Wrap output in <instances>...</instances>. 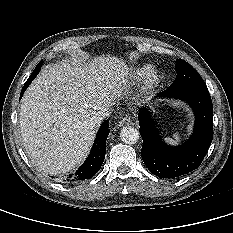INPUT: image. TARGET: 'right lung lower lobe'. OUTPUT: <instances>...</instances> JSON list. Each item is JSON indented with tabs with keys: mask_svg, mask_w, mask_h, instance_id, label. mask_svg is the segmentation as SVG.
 Here are the masks:
<instances>
[{
	"mask_svg": "<svg viewBox=\"0 0 233 233\" xmlns=\"http://www.w3.org/2000/svg\"><path fill=\"white\" fill-rule=\"evenodd\" d=\"M35 72H38L35 70ZM37 74H31L26 83L24 84L20 98L23 96L24 91L29 86L31 81L37 76ZM108 120H105L100 126L98 133L96 135L93 147L91 152L86 159V161L79 167L77 172L73 175H70L66 180L67 181H79L84 179L92 178L102 166L106 153V139L110 132Z\"/></svg>",
	"mask_w": 233,
	"mask_h": 233,
	"instance_id": "obj_1",
	"label": "right lung lower lobe"
}]
</instances>
